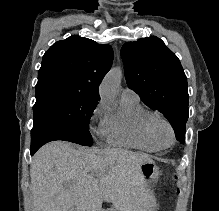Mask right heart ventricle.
Listing matches in <instances>:
<instances>
[{
	"instance_id": "obj_1",
	"label": "right heart ventricle",
	"mask_w": 219,
	"mask_h": 211,
	"mask_svg": "<svg viewBox=\"0 0 219 211\" xmlns=\"http://www.w3.org/2000/svg\"><path fill=\"white\" fill-rule=\"evenodd\" d=\"M157 115L138 100H120L119 106L107 118L106 136L109 143L144 151H157L160 147L146 129L150 116Z\"/></svg>"
}]
</instances>
